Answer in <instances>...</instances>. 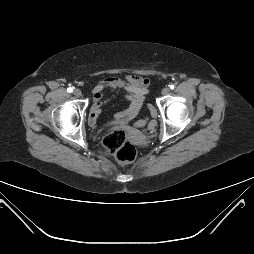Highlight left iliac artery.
<instances>
[{
  "label": "left iliac artery",
  "instance_id": "obj_1",
  "mask_svg": "<svg viewBox=\"0 0 254 254\" xmlns=\"http://www.w3.org/2000/svg\"><path fill=\"white\" fill-rule=\"evenodd\" d=\"M174 88H175V86H174V85H170V89H172V90H173Z\"/></svg>",
  "mask_w": 254,
  "mask_h": 254
}]
</instances>
